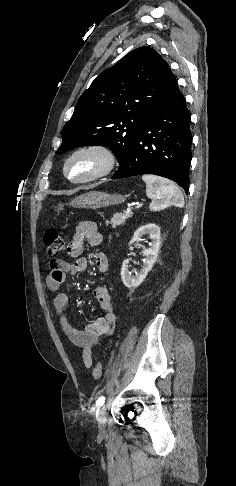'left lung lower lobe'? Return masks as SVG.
Instances as JSON below:
<instances>
[{
    "label": "left lung lower lobe",
    "instance_id": "0a47b994",
    "mask_svg": "<svg viewBox=\"0 0 236 486\" xmlns=\"http://www.w3.org/2000/svg\"><path fill=\"white\" fill-rule=\"evenodd\" d=\"M191 116L178 85L136 136L112 179L154 174L175 181L188 192L192 158Z\"/></svg>",
    "mask_w": 236,
    "mask_h": 486
}]
</instances>
